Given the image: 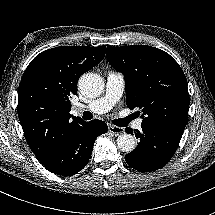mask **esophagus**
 Returning <instances> with one entry per match:
<instances>
[{
  "label": "esophagus",
  "instance_id": "obj_1",
  "mask_svg": "<svg viewBox=\"0 0 215 215\" xmlns=\"http://www.w3.org/2000/svg\"><path fill=\"white\" fill-rule=\"evenodd\" d=\"M108 130H109V132H111L112 134L117 135V136L122 135L125 132L124 128L114 126V125H111V124L108 126Z\"/></svg>",
  "mask_w": 215,
  "mask_h": 215
}]
</instances>
